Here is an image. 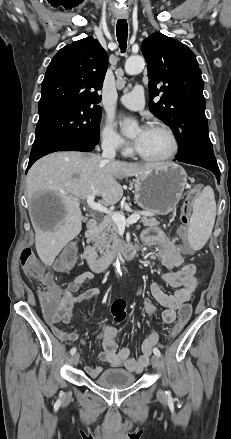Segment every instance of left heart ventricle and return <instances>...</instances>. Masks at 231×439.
Here are the masks:
<instances>
[{"label": "left heart ventricle", "mask_w": 231, "mask_h": 439, "mask_svg": "<svg viewBox=\"0 0 231 439\" xmlns=\"http://www.w3.org/2000/svg\"><path fill=\"white\" fill-rule=\"evenodd\" d=\"M138 134L139 132L136 137ZM170 147V139L165 132L155 128H148L136 149L144 155L158 157L166 154Z\"/></svg>", "instance_id": "b2bd125f"}]
</instances>
